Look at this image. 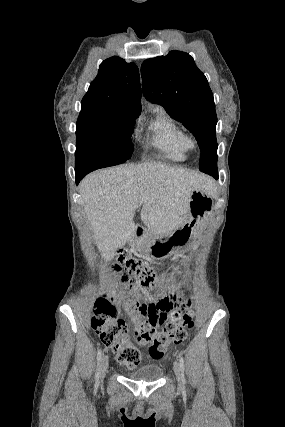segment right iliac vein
I'll return each mask as SVG.
<instances>
[{
	"instance_id": "1",
	"label": "right iliac vein",
	"mask_w": 285,
	"mask_h": 427,
	"mask_svg": "<svg viewBox=\"0 0 285 427\" xmlns=\"http://www.w3.org/2000/svg\"><path fill=\"white\" fill-rule=\"evenodd\" d=\"M108 368V357L104 356L102 361H101V365H100V374H99V379H98V384L102 381L106 371Z\"/></svg>"
}]
</instances>
